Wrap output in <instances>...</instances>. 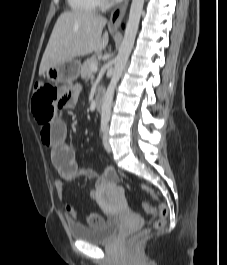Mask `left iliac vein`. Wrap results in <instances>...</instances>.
I'll return each mask as SVG.
<instances>
[{
	"instance_id": "obj_1",
	"label": "left iliac vein",
	"mask_w": 227,
	"mask_h": 265,
	"mask_svg": "<svg viewBox=\"0 0 227 265\" xmlns=\"http://www.w3.org/2000/svg\"><path fill=\"white\" fill-rule=\"evenodd\" d=\"M103 145H104V148L107 152H111L112 148H111V145L109 142V130H108V128H106V131H105L104 136H103Z\"/></svg>"
}]
</instances>
